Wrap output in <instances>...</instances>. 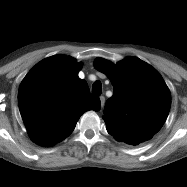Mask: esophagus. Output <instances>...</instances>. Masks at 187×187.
Listing matches in <instances>:
<instances>
[{
	"label": "esophagus",
	"mask_w": 187,
	"mask_h": 187,
	"mask_svg": "<svg viewBox=\"0 0 187 187\" xmlns=\"http://www.w3.org/2000/svg\"><path fill=\"white\" fill-rule=\"evenodd\" d=\"M100 102H101V107H104L105 104V97L104 96H100Z\"/></svg>",
	"instance_id": "1"
}]
</instances>
